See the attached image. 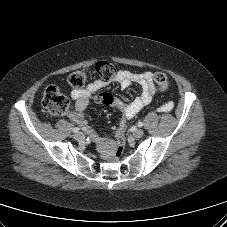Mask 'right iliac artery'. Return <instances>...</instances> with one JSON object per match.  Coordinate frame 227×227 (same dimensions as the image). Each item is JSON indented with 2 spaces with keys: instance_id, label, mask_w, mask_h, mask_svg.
<instances>
[{
  "instance_id": "right-iliac-artery-1",
  "label": "right iliac artery",
  "mask_w": 227,
  "mask_h": 227,
  "mask_svg": "<svg viewBox=\"0 0 227 227\" xmlns=\"http://www.w3.org/2000/svg\"><path fill=\"white\" fill-rule=\"evenodd\" d=\"M79 130H80V128L75 127V128L73 129V133H77V132H79Z\"/></svg>"
}]
</instances>
